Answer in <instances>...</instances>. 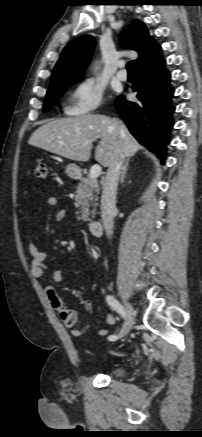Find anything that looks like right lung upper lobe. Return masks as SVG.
<instances>
[{
	"instance_id": "cb5924a9",
	"label": "right lung upper lobe",
	"mask_w": 202,
	"mask_h": 437,
	"mask_svg": "<svg viewBox=\"0 0 202 437\" xmlns=\"http://www.w3.org/2000/svg\"><path fill=\"white\" fill-rule=\"evenodd\" d=\"M122 47H131L138 52L135 66L148 63L161 54V47L149 35L145 24L135 20L120 35ZM95 48L91 35L80 36L71 41L63 50L51 76V85L60 81L83 76Z\"/></svg>"
}]
</instances>
